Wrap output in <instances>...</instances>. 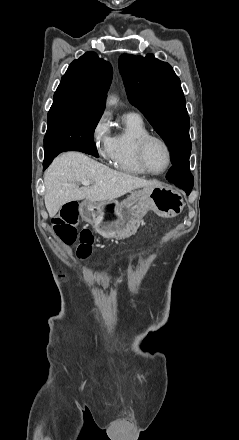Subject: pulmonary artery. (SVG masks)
<instances>
[{
    "instance_id": "e3ab8cb5",
    "label": "pulmonary artery",
    "mask_w": 239,
    "mask_h": 440,
    "mask_svg": "<svg viewBox=\"0 0 239 440\" xmlns=\"http://www.w3.org/2000/svg\"><path fill=\"white\" fill-rule=\"evenodd\" d=\"M127 116H133V117L142 119L141 114L138 112H130Z\"/></svg>"
}]
</instances>
